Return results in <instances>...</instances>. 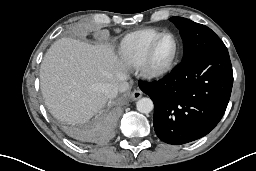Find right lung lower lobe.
<instances>
[{"instance_id": "98d812e1", "label": "right lung lower lobe", "mask_w": 256, "mask_h": 171, "mask_svg": "<svg viewBox=\"0 0 256 171\" xmlns=\"http://www.w3.org/2000/svg\"><path fill=\"white\" fill-rule=\"evenodd\" d=\"M125 103L123 97L108 101L94 119L70 130V135L84 142L100 143L109 140Z\"/></svg>"}]
</instances>
